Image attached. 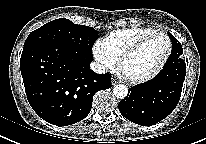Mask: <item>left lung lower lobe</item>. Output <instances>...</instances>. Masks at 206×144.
Instances as JSON below:
<instances>
[{"instance_id":"obj_1","label":"left lung lower lobe","mask_w":206,"mask_h":144,"mask_svg":"<svg viewBox=\"0 0 206 144\" xmlns=\"http://www.w3.org/2000/svg\"><path fill=\"white\" fill-rule=\"evenodd\" d=\"M185 76L183 59L170 57L155 78L128 90L127 97L119 102L120 113L142 126L160 122L177 106Z\"/></svg>"}]
</instances>
